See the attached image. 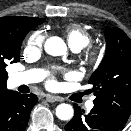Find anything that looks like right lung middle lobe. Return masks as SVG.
I'll list each match as a JSON object with an SVG mask.
<instances>
[{
  "mask_svg": "<svg viewBox=\"0 0 131 131\" xmlns=\"http://www.w3.org/2000/svg\"><path fill=\"white\" fill-rule=\"evenodd\" d=\"M43 20L42 22H44ZM42 22H27L16 28L11 36V44L6 52L0 54V74L8 78L5 70L7 63H15L20 59V47L26 34Z\"/></svg>",
  "mask_w": 131,
  "mask_h": 131,
  "instance_id": "right-lung-middle-lobe-1",
  "label": "right lung middle lobe"
}]
</instances>
